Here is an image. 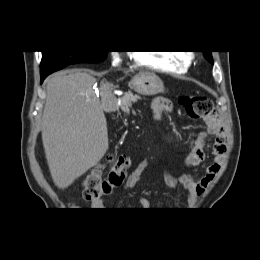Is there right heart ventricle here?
<instances>
[{
	"mask_svg": "<svg viewBox=\"0 0 260 260\" xmlns=\"http://www.w3.org/2000/svg\"><path fill=\"white\" fill-rule=\"evenodd\" d=\"M133 58L141 66L169 73H184L190 65L186 55L174 52L138 51L133 54Z\"/></svg>",
	"mask_w": 260,
	"mask_h": 260,
	"instance_id": "obj_1",
	"label": "right heart ventricle"
}]
</instances>
